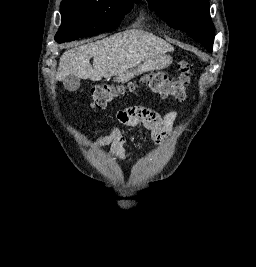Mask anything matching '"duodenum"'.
<instances>
[{
	"mask_svg": "<svg viewBox=\"0 0 256 267\" xmlns=\"http://www.w3.org/2000/svg\"><path fill=\"white\" fill-rule=\"evenodd\" d=\"M154 66H143L142 68H131V70H124V74H120L117 77V82H128V79H134L133 73H150L154 71Z\"/></svg>",
	"mask_w": 256,
	"mask_h": 267,
	"instance_id": "duodenum-1",
	"label": "duodenum"
}]
</instances>
